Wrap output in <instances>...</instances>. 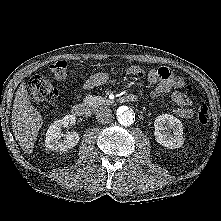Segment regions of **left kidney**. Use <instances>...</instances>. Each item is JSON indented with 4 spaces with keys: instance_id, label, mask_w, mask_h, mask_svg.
I'll return each mask as SVG.
<instances>
[{
    "instance_id": "obj_1",
    "label": "left kidney",
    "mask_w": 221,
    "mask_h": 221,
    "mask_svg": "<svg viewBox=\"0 0 221 221\" xmlns=\"http://www.w3.org/2000/svg\"><path fill=\"white\" fill-rule=\"evenodd\" d=\"M154 127L155 140L162 146L174 149L180 148L184 144L183 125L173 115L162 114L158 116L154 122Z\"/></svg>"
}]
</instances>
